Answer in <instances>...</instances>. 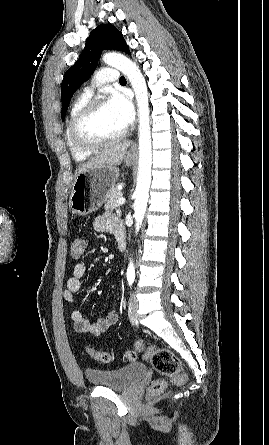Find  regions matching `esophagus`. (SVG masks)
Here are the masks:
<instances>
[{
	"label": "esophagus",
	"instance_id": "obj_1",
	"mask_svg": "<svg viewBox=\"0 0 269 445\" xmlns=\"http://www.w3.org/2000/svg\"><path fill=\"white\" fill-rule=\"evenodd\" d=\"M136 147V144L133 145V149Z\"/></svg>",
	"mask_w": 269,
	"mask_h": 445
}]
</instances>
